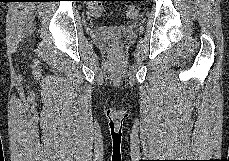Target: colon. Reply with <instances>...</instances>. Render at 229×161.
Here are the masks:
<instances>
[{
	"label": "colon",
	"instance_id": "obj_1",
	"mask_svg": "<svg viewBox=\"0 0 229 161\" xmlns=\"http://www.w3.org/2000/svg\"><path fill=\"white\" fill-rule=\"evenodd\" d=\"M89 13L93 17H100L104 14V6L100 0H92L89 4ZM126 15L130 19H135L139 16V8L131 5L126 10ZM111 48L115 49L118 46L117 41H111Z\"/></svg>",
	"mask_w": 229,
	"mask_h": 161
}]
</instances>
